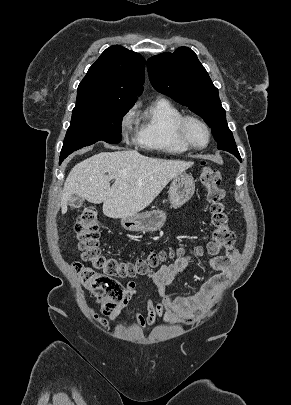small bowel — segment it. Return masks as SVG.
Returning a JSON list of instances; mask_svg holds the SVG:
<instances>
[{
    "label": "small bowel",
    "instance_id": "1",
    "mask_svg": "<svg viewBox=\"0 0 291 405\" xmlns=\"http://www.w3.org/2000/svg\"><path fill=\"white\" fill-rule=\"evenodd\" d=\"M239 259V252L227 248L223 256L215 257L207 263V267L217 274L209 278L200 290L188 296H178L170 291V285L177 275L182 273L191 256L178 257L173 263L165 264L157 271H150L147 276L156 288L157 300L146 299V314L136 313L134 321L141 331H146L148 326H153L159 319L165 323L180 322L185 326H192L203 320L232 274L233 265ZM137 295V283L130 280L126 284L125 294L120 301L118 309L110 315L112 321L116 320L119 311ZM91 315L101 325L106 326L107 321L99 318L93 311Z\"/></svg>",
    "mask_w": 291,
    "mask_h": 405
}]
</instances>
